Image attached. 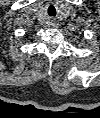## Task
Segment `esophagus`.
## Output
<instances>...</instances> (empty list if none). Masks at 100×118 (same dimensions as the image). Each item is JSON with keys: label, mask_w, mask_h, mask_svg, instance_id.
I'll return each mask as SVG.
<instances>
[{"label": "esophagus", "mask_w": 100, "mask_h": 118, "mask_svg": "<svg viewBox=\"0 0 100 118\" xmlns=\"http://www.w3.org/2000/svg\"><path fill=\"white\" fill-rule=\"evenodd\" d=\"M52 25H53L54 27H57L56 23H53Z\"/></svg>", "instance_id": "obj_1"}]
</instances>
